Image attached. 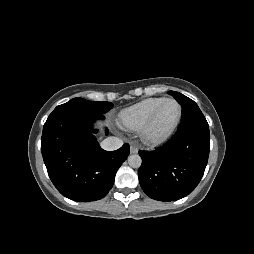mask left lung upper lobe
Returning <instances> with one entry per match:
<instances>
[{
  "instance_id": "1",
  "label": "left lung upper lobe",
  "mask_w": 254,
  "mask_h": 254,
  "mask_svg": "<svg viewBox=\"0 0 254 254\" xmlns=\"http://www.w3.org/2000/svg\"><path fill=\"white\" fill-rule=\"evenodd\" d=\"M169 93L174 96L183 107V117L179 128L190 124H208L198 105L193 100L179 92L169 91Z\"/></svg>"
}]
</instances>
